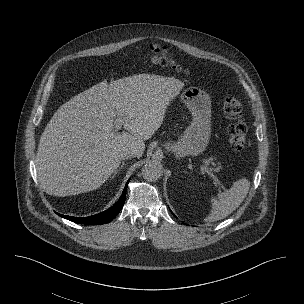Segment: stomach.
Segmentation results:
<instances>
[{
	"label": "stomach",
	"instance_id": "stomach-1",
	"mask_svg": "<svg viewBox=\"0 0 304 304\" xmlns=\"http://www.w3.org/2000/svg\"><path fill=\"white\" fill-rule=\"evenodd\" d=\"M181 99L192 114V122L176 142L166 143L167 150L176 157L197 156L202 153L211 133V100L209 95L197 87H189L181 94Z\"/></svg>",
	"mask_w": 304,
	"mask_h": 304
}]
</instances>
